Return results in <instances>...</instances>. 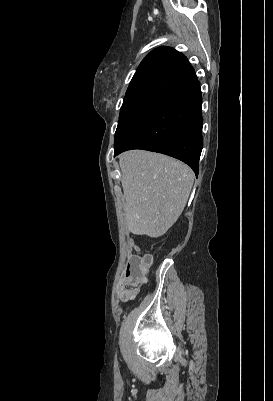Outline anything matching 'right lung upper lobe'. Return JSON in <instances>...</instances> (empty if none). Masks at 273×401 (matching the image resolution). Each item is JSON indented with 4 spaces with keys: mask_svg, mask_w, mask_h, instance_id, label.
Segmentation results:
<instances>
[{
    "mask_svg": "<svg viewBox=\"0 0 273 401\" xmlns=\"http://www.w3.org/2000/svg\"><path fill=\"white\" fill-rule=\"evenodd\" d=\"M197 79L187 58L170 47H158L140 63L125 97L154 93L170 96Z\"/></svg>",
    "mask_w": 273,
    "mask_h": 401,
    "instance_id": "1",
    "label": "right lung upper lobe"
}]
</instances>
